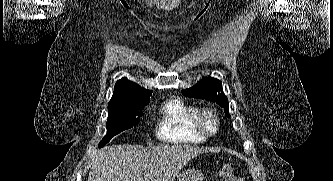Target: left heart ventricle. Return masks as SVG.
<instances>
[{
  "label": "left heart ventricle",
  "instance_id": "1",
  "mask_svg": "<svg viewBox=\"0 0 333 181\" xmlns=\"http://www.w3.org/2000/svg\"><path fill=\"white\" fill-rule=\"evenodd\" d=\"M212 126H213L212 122H208V127L212 128Z\"/></svg>",
  "mask_w": 333,
  "mask_h": 181
}]
</instances>
